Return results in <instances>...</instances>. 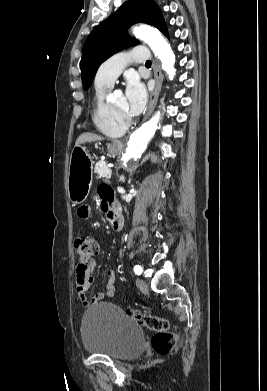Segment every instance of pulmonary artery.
<instances>
[{"mask_svg": "<svg viewBox=\"0 0 267 391\" xmlns=\"http://www.w3.org/2000/svg\"><path fill=\"white\" fill-rule=\"evenodd\" d=\"M148 58V49L143 46L114 54L99 67L95 77V86L112 87L116 78L129 62L145 63Z\"/></svg>", "mask_w": 267, "mask_h": 391, "instance_id": "obj_1", "label": "pulmonary artery"}]
</instances>
